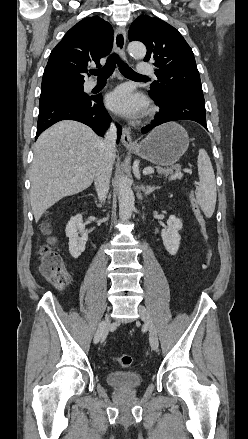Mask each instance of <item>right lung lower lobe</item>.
Here are the masks:
<instances>
[{"mask_svg":"<svg viewBox=\"0 0 248 439\" xmlns=\"http://www.w3.org/2000/svg\"><path fill=\"white\" fill-rule=\"evenodd\" d=\"M61 120H75L91 127L95 133L103 136L111 122V117L106 111L102 96L89 98H73L39 109L37 137L48 127ZM118 140L121 129L118 124Z\"/></svg>","mask_w":248,"mask_h":439,"instance_id":"right-lung-lower-lobe-1","label":"right lung lower lobe"}]
</instances>
